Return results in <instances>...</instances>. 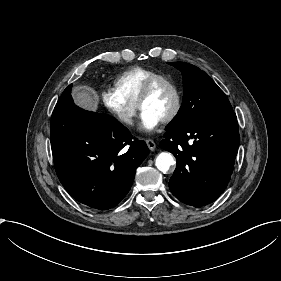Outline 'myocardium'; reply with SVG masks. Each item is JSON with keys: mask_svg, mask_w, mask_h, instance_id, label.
<instances>
[{"mask_svg": "<svg viewBox=\"0 0 281 281\" xmlns=\"http://www.w3.org/2000/svg\"><path fill=\"white\" fill-rule=\"evenodd\" d=\"M161 84L169 86L174 94V104L168 116L162 121L163 124H169L175 120L180 113L182 107V95L178 85L169 77L160 75L150 79L144 86L138 101L137 106L141 110L142 104L151 96L154 90Z\"/></svg>", "mask_w": 281, "mask_h": 281, "instance_id": "1", "label": "myocardium"}]
</instances>
